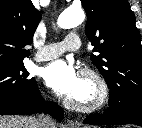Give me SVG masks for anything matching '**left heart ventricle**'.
<instances>
[{
	"mask_svg": "<svg viewBox=\"0 0 142 128\" xmlns=\"http://www.w3.org/2000/svg\"><path fill=\"white\" fill-rule=\"evenodd\" d=\"M93 93L94 91L91 84L82 79L78 90L75 92V94L72 97H74L79 101L84 102L90 100L93 96Z\"/></svg>",
	"mask_w": 142,
	"mask_h": 128,
	"instance_id": "left-heart-ventricle-1",
	"label": "left heart ventricle"
}]
</instances>
